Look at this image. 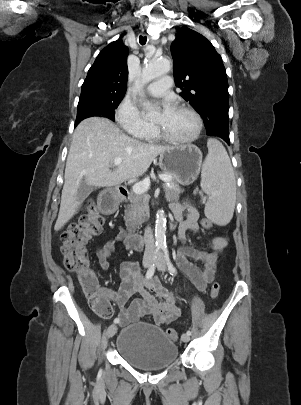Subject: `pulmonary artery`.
I'll return each mask as SVG.
<instances>
[{"mask_svg":"<svg viewBox=\"0 0 301 405\" xmlns=\"http://www.w3.org/2000/svg\"><path fill=\"white\" fill-rule=\"evenodd\" d=\"M171 85L172 78L170 76H163L148 84L147 91L154 96H161L168 91Z\"/></svg>","mask_w":301,"mask_h":405,"instance_id":"1","label":"pulmonary artery"}]
</instances>
